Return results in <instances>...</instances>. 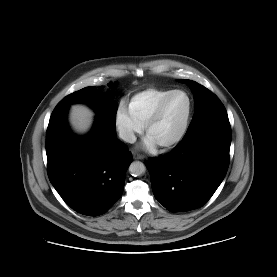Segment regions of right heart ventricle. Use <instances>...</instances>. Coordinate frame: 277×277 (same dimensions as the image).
Here are the masks:
<instances>
[{
  "mask_svg": "<svg viewBox=\"0 0 277 277\" xmlns=\"http://www.w3.org/2000/svg\"><path fill=\"white\" fill-rule=\"evenodd\" d=\"M173 90L172 88L151 87L140 91L130 98L129 112L137 122L144 126L158 103Z\"/></svg>",
  "mask_w": 277,
  "mask_h": 277,
  "instance_id": "right-heart-ventricle-1",
  "label": "right heart ventricle"
}]
</instances>
